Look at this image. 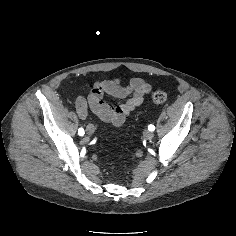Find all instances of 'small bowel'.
I'll return each instance as SVG.
<instances>
[{"instance_id":"obj_1","label":"small bowel","mask_w":236,"mask_h":236,"mask_svg":"<svg viewBox=\"0 0 236 236\" xmlns=\"http://www.w3.org/2000/svg\"><path fill=\"white\" fill-rule=\"evenodd\" d=\"M151 90V85L139 77L132 78L127 84L119 78L105 79L92 86L87 99L79 97L76 100V111L85 120L90 108L101 121L120 126L143 103ZM106 96L116 99L117 102L108 103Z\"/></svg>"}]
</instances>
